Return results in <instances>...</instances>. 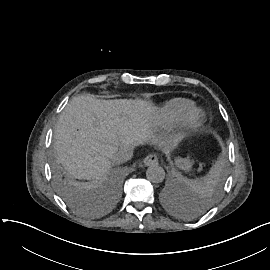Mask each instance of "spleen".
<instances>
[{"label": "spleen", "instance_id": "3e777b00", "mask_svg": "<svg viewBox=\"0 0 270 270\" xmlns=\"http://www.w3.org/2000/svg\"><path fill=\"white\" fill-rule=\"evenodd\" d=\"M219 180V173L217 171H214L212 173V175L209 176L208 179H205L207 184H212V183H216ZM186 183L191 186V187H196L200 185V182L197 180H188L186 181Z\"/></svg>", "mask_w": 270, "mask_h": 270}]
</instances>
